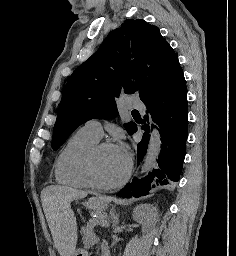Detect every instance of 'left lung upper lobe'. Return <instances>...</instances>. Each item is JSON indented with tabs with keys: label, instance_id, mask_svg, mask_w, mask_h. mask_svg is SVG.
Returning a JSON list of instances; mask_svg holds the SVG:
<instances>
[{
	"label": "left lung upper lobe",
	"instance_id": "5c2ea615",
	"mask_svg": "<svg viewBox=\"0 0 236 256\" xmlns=\"http://www.w3.org/2000/svg\"><path fill=\"white\" fill-rule=\"evenodd\" d=\"M180 67L177 54L156 26L124 21L70 76L63 92L51 146L58 149L82 123L117 115L116 100L139 94L143 101ZM129 134L134 122L124 124Z\"/></svg>",
	"mask_w": 236,
	"mask_h": 256
}]
</instances>
